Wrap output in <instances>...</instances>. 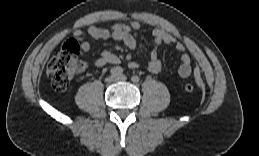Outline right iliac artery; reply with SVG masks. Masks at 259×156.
I'll return each instance as SVG.
<instances>
[{
	"instance_id": "obj_1",
	"label": "right iliac artery",
	"mask_w": 259,
	"mask_h": 156,
	"mask_svg": "<svg viewBox=\"0 0 259 156\" xmlns=\"http://www.w3.org/2000/svg\"><path fill=\"white\" fill-rule=\"evenodd\" d=\"M122 73H123V69H122L121 67H119V66L114 67V68H112V69L110 70V74H111L112 76H119V75H121Z\"/></svg>"
}]
</instances>
